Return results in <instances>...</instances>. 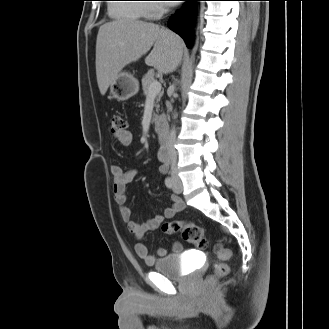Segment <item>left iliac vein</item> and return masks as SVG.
<instances>
[{
  "instance_id": "obj_1",
  "label": "left iliac vein",
  "mask_w": 329,
  "mask_h": 329,
  "mask_svg": "<svg viewBox=\"0 0 329 329\" xmlns=\"http://www.w3.org/2000/svg\"><path fill=\"white\" fill-rule=\"evenodd\" d=\"M173 191L177 194L181 193L182 191V184L178 179L174 180Z\"/></svg>"
}]
</instances>
